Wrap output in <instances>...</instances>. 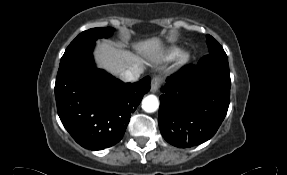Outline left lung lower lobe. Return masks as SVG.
<instances>
[{"instance_id": "obj_1", "label": "left lung lower lobe", "mask_w": 287, "mask_h": 175, "mask_svg": "<svg viewBox=\"0 0 287 175\" xmlns=\"http://www.w3.org/2000/svg\"><path fill=\"white\" fill-rule=\"evenodd\" d=\"M230 86L229 70L218 66L188 65L168 77L158 116L165 140L179 148L209 140L226 116Z\"/></svg>"}]
</instances>
